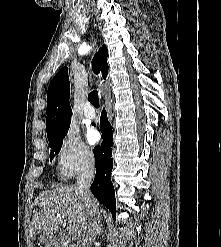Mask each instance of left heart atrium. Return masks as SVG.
I'll list each match as a JSON object with an SVG mask.
<instances>
[{
  "mask_svg": "<svg viewBox=\"0 0 221 247\" xmlns=\"http://www.w3.org/2000/svg\"><path fill=\"white\" fill-rule=\"evenodd\" d=\"M87 137L91 143H96L99 140V134L95 130H89Z\"/></svg>",
  "mask_w": 221,
  "mask_h": 247,
  "instance_id": "obj_1",
  "label": "left heart atrium"
}]
</instances>
